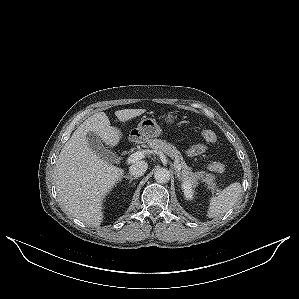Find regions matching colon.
I'll list each match as a JSON object with an SVG mask.
<instances>
[{"label":"colon","mask_w":299,"mask_h":299,"mask_svg":"<svg viewBox=\"0 0 299 299\" xmlns=\"http://www.w3.org/2000/svg\"><path fill=\"white\" fill-rule=\"evenodd\" d=\"M201 136L210 143H216L218 141L216 133L212 130H203ZM210 170L214 172H223L225 170V165L221 162H214L210 165Z\"/></svg>","instance_id":"1"}]
</instances>
